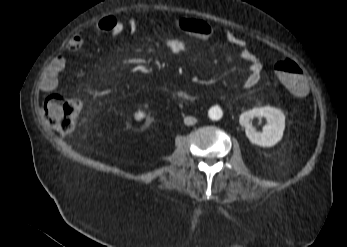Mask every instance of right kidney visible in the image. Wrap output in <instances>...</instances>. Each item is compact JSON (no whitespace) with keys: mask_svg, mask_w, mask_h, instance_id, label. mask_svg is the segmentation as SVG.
<instances>
[{"mask_svg":"<svg viewBox=\"0 0 347 247\" xmlns=\"http://www.w3.org/2000/svg\"><path fill=\"white\" fill-rule=\"evenodd\" d=\"M144 117V113L139 111L135 114V119L136 120H141Z\"/></svg>","mask_w":347,"mask_h":247,"instance_id":"ca27d5eb","label":"right kidney"}]
</instances>
